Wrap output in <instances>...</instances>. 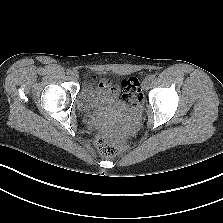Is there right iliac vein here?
<instances>
[{"label": "right iliac vein", "mask_w": 223, "mask_h": 223, "mask_svg": "<svg viewBox=\"0 0 223 223\" xmlns=\"http://www.w3.org/2000/svg\"><path fill=\"white\" fill-rule=\"evenodd\" d=\"M71 77H72L73 79L77 80V79L79 78V74H78V72L73 71V72L71 73Z\"/></svg>", "instance_id": "right-iliac-vein-1"}]
</instances>
